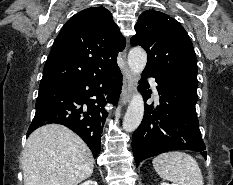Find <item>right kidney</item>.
Masks as SVG:
<instances>
[{
    "instance_id": "ca27d5eb",
    "label": "right kidney",
    "mask_w": 233,
    "mask_h": 185,
    "mask_svg": "<svg viewBox=\"0 0 233 185\" xmlns=\"http://www.w3.org/2000/svg\"><path fill=\"white\" fill-rule=\"evenodd\" d=\"M80 185H98L96 181L88 180Z\"/></svg>"
}]
</instances>
